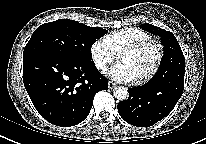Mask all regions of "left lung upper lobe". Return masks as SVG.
<instances>
[{"instance_id": "1", "label": "left lung upper lobe", "mask_w": 206, "mask_h": 144, "mask_svg": "<svg viewBox=\"0 0 206 144\" xmlns=\"http://www.w3.org/2000/svg\"><path fill=\"white\" fill-rule=\"evenodd\" d=\"M141 28L149 33L158 35L161 38V43L164 46V55L160 67L150 82L160 80L165 73L173 68H184L185 60L181 47L175 36L164 29L156 27L152 24H144Z\"/></svg>"}]
</instances>
